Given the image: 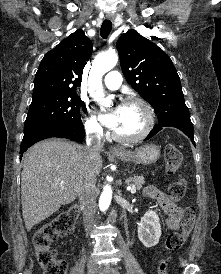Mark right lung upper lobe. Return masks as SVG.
<instances>
[{
	"label": "right lung upper lobe",
	"mask_w": 221,
	"mask_h": 274,
	"mask_svg": "<svg viewBox=\"0 0 221 274\" xmlns=\"http://www.w3.org/2000/svg\"><path fill=\"white\" fill-rule=\"evenodd\" d=\"M91 53L92 42L81 29L62 40L42 59L32 99L76 93Z\"/></svg>",
	"instance_id": "obj_1"
}]
</instances>
